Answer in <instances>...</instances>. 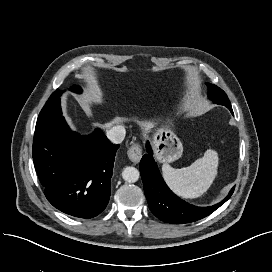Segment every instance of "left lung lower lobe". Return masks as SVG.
<instances>
[{"label": "left lung lower lobe", "mask_w": 272, "mask_h": 272, "mask_svg": "<svg viewBox=\"0 0 272 272\" xmlns=\"http://www.w3.org/2000/svg\"><path fill=\"white\" fill-rule=\"evenodd\" d=\"M233 114L232 107L228 108ZM147 154L140 162V174L144 185V193L151 212L161 221L171 224H183L200 220L218 209L234 192V187L220 203L209 207H197L177 197L164 182L157 164L154 161L149 142L146 144Z\"/></svg>", "instance_id": "left-lung-lower-lobe-1"}]
</instances>
